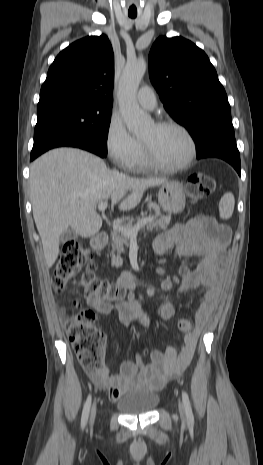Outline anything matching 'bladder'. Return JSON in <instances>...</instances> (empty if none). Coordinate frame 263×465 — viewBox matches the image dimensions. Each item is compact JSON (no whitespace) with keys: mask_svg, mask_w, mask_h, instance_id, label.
Wrapping results in <instances>:
<instances>
[{"mask_svg":"<svg viewBox=\"0 0 263 465\" xmlns=\"http://www.w3.org/2000/svg\"><path fill=\"white\" fill-rule=\"evenodd\" d=\"M159 403V396L147 389L132 390L124 394L116 408L126 415H140L153 411Z\"/></svg>","mask_w":263,"mask_h":465,"instance_id":"1","label":"bladder"}]
</instances>
